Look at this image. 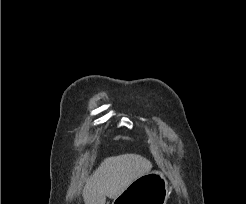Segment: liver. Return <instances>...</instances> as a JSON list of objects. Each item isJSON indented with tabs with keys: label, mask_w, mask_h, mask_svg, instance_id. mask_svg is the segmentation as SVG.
I'll use <instances>...</instances> for the list:
<instances>
[{
	"label": "liver",
	"mask_w": 246,
	"mask_h": 204,
	"mask_svg": "<svg viewBox=\"0 0 246 204\" xmlns=\"http://www.w3.org/2000/svg\"><path fill=\"white\" fill-rule=\"evenodd\" d=\"M152 163L141 155L123 154L108 157L86 179L83 190L85 204H105L106 197L115 199L134 180L149 173Z\"/></svg>",
	"instance_id": "1"
}]
</instances>
